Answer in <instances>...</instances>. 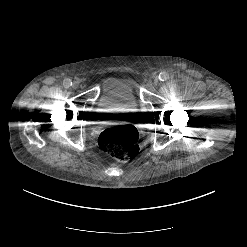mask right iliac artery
Instances as JSON below:
<instances>
[{
  "label": "right iliac artery",
  "instance_id": "82829eb1",
  "mask_svg": "<svg viewBox=\"0 0 247 247\" xmlns=\"http://www.w3.org/2000/svg\"><path fill=\"white\" fill-rule=\"evenodd\" d=\"M63 86H64L65 88L71 87V86H72V81H71L70 79H65V80L63 81Z\"/></svg>",
  "mask_w": 247,
  "mask_h": 247
}]
</instances>
